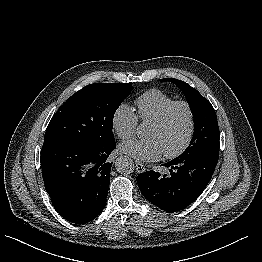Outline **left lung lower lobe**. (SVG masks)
Returning <instances> with one entry per match:
<instances>
[{
  "label": "left lung lower lobe",
  "instance_id": "left-lung-lower-lobe-1",
  "mask_svg": "<svg viewBox=\"0 0 262 262\" xmlns=\"http://www.w3.org/2000/svg\"><path fill=\"white\" fill-rule=\"evenodd\" d=\"M219 156L177 157L163 164L169 175L146 171L137 176L143 196L167 212L180 211L194 202L212 178Z\"/></svg>",
  "mask_w": 262,
  "mask_h": 262
}]
</instances>
